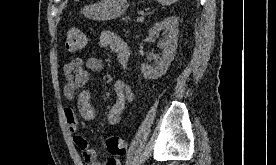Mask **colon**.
Returning <instances> with one entry per match:
<instances>
[{"instance_id":"obj_1","label":"colon","mask_w":276,"mask_h":165,"mask_svg":"<svg viewBox=\"0 0 276 165\" xmlns=\"http://www.w3.org/2000/svg\"><path fill=\"white\" fill-rule=\"evenodd\" d=\"M65 47L69 52H79L87 45L85 34L76 27H70L64 35ZM108 152L113 156H121L126 153V141L123 137L115 135L105 141Z\"/></svg>"}]
</instances>
